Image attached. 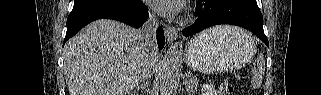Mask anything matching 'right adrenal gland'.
Here are the masks:
<instances>
[{
  "mask_svg": "<svg viewBox=\"0 0 321 95\" xmlns=\"http://www.w3.org/2000/svg\"><path fill=\"white\" fill-rule=\"evenodd\" d=\"M148 86V82H144V84L135 88L134 93L136 94L138 90L145 89Z\"/></svg>",
  "mask_w": 321,
  "mask_h": 95,
  "instance_id": "obj_1",
  "label": "right adrenal gland"
}]
</instances>
